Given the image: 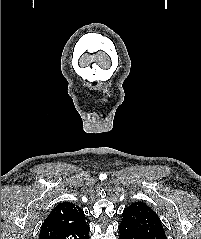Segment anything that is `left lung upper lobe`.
I'll use <instances>...</instances> for the list:
<instances>
[{
	"mask_svg": "<svg viewBox=\"0 0 201 239\" xmlns=\"http://www.w3.org/2000/svg\"><path fill=\"white\" fill-rule=\"evenodd\" d=\"M122 224L128 225L147 239H167L157 214L145 203L135 202L122 213Z\"/></svg>",
	"mask_w": 201,
	"mask_h": 239,
	"instance_id": "5c2ea615",
	"label": "left lung upper lobe"
}]
</instances>
